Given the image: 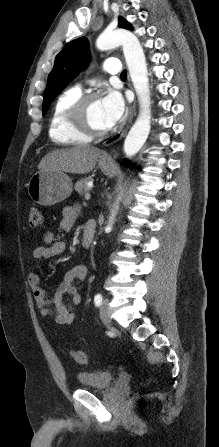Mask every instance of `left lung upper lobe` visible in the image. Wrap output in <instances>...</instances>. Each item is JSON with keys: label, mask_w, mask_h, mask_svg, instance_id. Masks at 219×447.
<instances>
[{"label": "left lung upper lobe", "mask_w": 219, "mask_h": 447, "mask_svg": "<svg viewBox=\"0 0 219 447\" xmlns=\"http://www.w3.org/2000/svg\"><path fill=\"white\" fill-rule=\"evenodd\" d=\"M119 27L131 29L130 24L119 18ZM89 62L88 41L81 37L69 42L56 56L54 67L48 76L43 97V115L53 99L65 88L80 70Z\"/></svg>", "instance_id": "5c2ea615"}]
</instances>
